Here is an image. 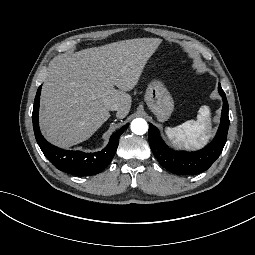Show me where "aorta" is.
Returning <instances> with one entry per match:
<instances>
[{
  "label": "aorta",
  "mask_w": 255,
  "mask_h": 255,
  "mask_svg": "<svg viewBox=\"0 0 255 255\" xmlns=\"http://www.w3.org/2000/svg\"><path fill=\"white\" fill-rule=\"evenodd\" d=\"M131 130L137 135H143L148 130V124L146 120L142 118H136L131 122Z\"/></svg>",
  "instance_id": "obj_1"
}]
</instances>
